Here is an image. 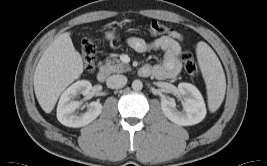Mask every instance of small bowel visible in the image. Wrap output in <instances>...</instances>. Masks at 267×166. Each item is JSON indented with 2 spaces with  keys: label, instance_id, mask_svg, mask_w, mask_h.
<instances>
[{
  "label": "small bowel",
  "instance_id": "c3829d8e",
  "mask_svg": "<svg viewBox=\"0 0 267 166\" xmlns=\"http://www.w3.org/2000/svg\"><path fill=\"white\" fill-rule=\"evenodd\" d=\"M181 40V34L173 31L151 42L139 37H130L127 44L138 53L161 50L163 52L162 62L156 65H144L140 69V74L143 76L153 75L159 80H168L176 78L181 71Z\"/></svg>",
  "mask_w": 267,
  "mask_h": 166
}]
</instances>
